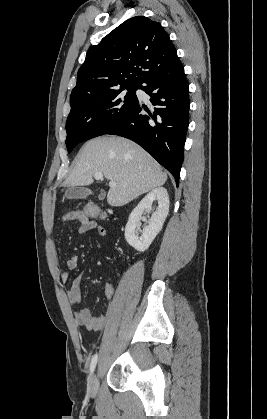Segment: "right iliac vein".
<instances>
[{"instance_id": "obj_1", "label": "right iliac vein", "mask_w": 267, "mask_h": 419, "mask_svg": "<svg viewBox=\"0 0 267 419\" xmlns=\"http://www.w3.org/2000/svg\"><path fill=\"white\" fill-rule=\"evenodd\" d=\"M97 385H98V374L95 372L91 376V378L89 380V383H88V391L92 396L96 395Z\"/></svg>"}]
</instances>
